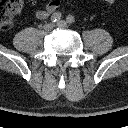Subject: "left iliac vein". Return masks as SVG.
<instances>
[{
  "label": "left iliac vein",
  "instance_id": "obj_1",
  "mask_svg": "<svg viewBox=\"0 0 128 128\" xmlns=\"http://www.w3.org/2000/svg\"><path fill=\"white\" fill-rule=\"evenodd\" d=\"M57 26L61 27V28H66L67 27V23L64 20H61V21H59L57 23Z\"/></svg>",
  "mask_w": 128,
  "mask_h": 128
}]
</instances>
